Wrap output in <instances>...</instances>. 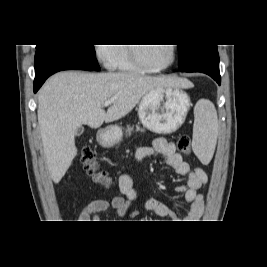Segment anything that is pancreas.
Instances as JSON below:
<instances>
[{
	"label": "pancreas",
	"instance_id": "1",
	"mask_svg": "<svg viewBox=\"0 0 267 267\" xmlns=\"http://www.w3.org/2000/svg\"><path fill=\"white\" fill-rule=\"evenodd\" d=\"M133 130H134V126H127V128H126V136H130L131 133L133 132ZM136 130L137 131H141V132L145 131L144 129L140 128L139 126H136Z\"/></svg>",
	"mask_w": 267,
	"mask_h": 267
}]
</instances>
